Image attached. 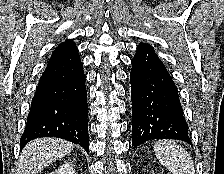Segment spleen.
Returning a JSON list of instances; mask_svg holds the SVG:
<instances>
[{
	"mask_svg": "<svg viewBox=\"0 0 224 174\" xmlns=\"http://www.w3.org/2000/svg\"><path fill=\"white\" fill-rule=\"evenodd\" d=\"M155 155L172 174H194V164L188 152L174 141H158Z\"/></svg>",
	"mask_w": 224,
	"mask_h": 174,
	"instance_id": "1",
	"label": "spleen"
}]
</instances>
